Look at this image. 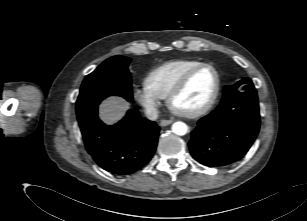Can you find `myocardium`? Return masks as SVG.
I'll return each instance as SVG.
<instances>
[{"label":"myocardium","instance_id":"obj_1","mask_svg":"<svg viewBox=\"0 0 307 221\" xmlns=\"http://www.w3.org/2000/svg\"><path fill=\"white\" fill-rule=\"evenodd\" d=\"M204 68H209L211 69L214 74H215V88H214V92L211 96V98L208 100V102L202 106L201 108L191 111V112H181L179 110H177L174 107V101L175 99L185 90V88L187 87V85L189 84L190 80L193 78V76L198 73L200 70L204 69ZM220 88H221V77L219 74V71L217 70V68L215 66H213L212 64L209 63H202L198 66H196L195 68L189 70L179 81L178 83L174 86V88L171 90V92L169 93V95L167 96V104L169 109L171 110L172 113H174L175 115L181 116V117H185V118H198L204 114H206L216 103L219 93H220Z\"/></svg>","mask_w":307,"mask_h":221}]
</instances>
